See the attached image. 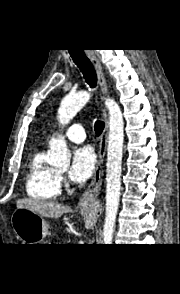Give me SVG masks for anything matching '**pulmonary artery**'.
<instances>
[{
  "label": "pulmonary artery",
  "mask_w": 180,
  "mask_h": 294,
  "mask_svg": "<svg viewBox=\"0 0 180 294\" xmlns=\"http://www.w3.org/2000/svg\"><path fill=\"white\" fill-rule=\"evenodd\" d=\"M66 137L75 143H80L85 140L86 134L82 125L73 124L66 130Z\"/></svg>",
  "instance_id": "e3ab8cb5"
}]
</instances>
